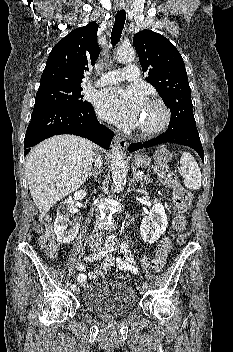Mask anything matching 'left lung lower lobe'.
Returning <instances> with one entry per match:
<instances>
[{
	"label": "left lung lower lobe",
	"instance_id": "1",
	"mask_svg": "<svg viewBox=\"0 0 233 352\" xmlns=\"http://www.w3.org/2000/svg\"><path fill=\"white\" fill-rule=\"evenodd\" d=\"M162 143H175L193 148L204 162V152L199 138L197 128H189L184 130H169L158 137L145 142L131 143L129 151H136L143 148H149Z\"/></svg>",
	"mask_w": 233,
	"mask_h": 352
}]
</instances>
